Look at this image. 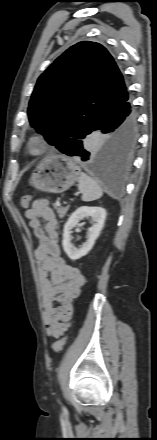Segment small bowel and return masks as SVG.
Instances as JSON below:
<instances>
[{
	"instance_id": "obj_1",
	"label": "small bowel",
	"mask_w": 157,
	"mask_h": 440,
	"mask_svg": "<svg viewBox=\"0 0 157 440\" xmlns=\"http://www.w3.org/2000/svg\"><path fill=\"white\" fill-rule=\"evenodd\" d=\"M25 217L39 242L34 256L38 267L43 322L47 334L59 338L70 325L72 302L79 295L85 278L61 255L58 223L49 200L36 199L25 212Z\"/></svg>"
}]
</instances>
